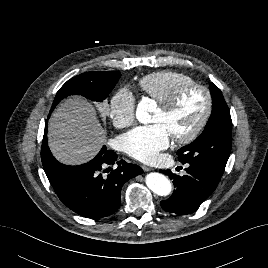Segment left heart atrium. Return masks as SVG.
Instances as JSON below:
<instances>
[{
    "label": "left heart atrium",
    "mask_w": 268,
    "mask_h": 268,
    "mask_svg": "<svg viewBox=\"0 0 268 268\" xmlns=\"http://www.w3.org/2000/svg\"><path fill=\"white\" fill-rule=\"evenodd\" d=\"M170 135L161 123L138 126L122 137V146L130 157L145 163H152L158 153L169 145Z\"/></svg>",
    "instance_id": "1"
}]
</instances>
